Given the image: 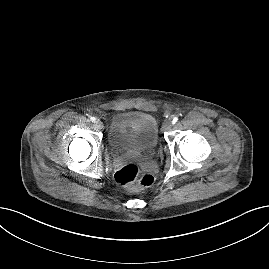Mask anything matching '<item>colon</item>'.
<instances>
[{
	"label": "colon",
	"instance_id": "colon-1",
	"mask_svg": "<svg viewBox=\"0 0 269 269\" xmlns=\"http://www.w3.org/2000/svg\"><path fill=\"white\" fill-rule=\"evenodd\" d=\"M114 178L119 185L130 191L148 188L154 183V176L141 171L135 163L119 166L114 173Z\"/></svg>",
	"mask_w": 269,
	"mask_h": 269
}]
</instances>
